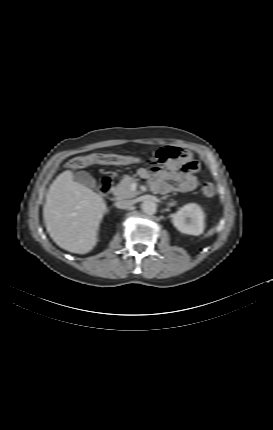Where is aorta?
Segmentation results:
<instances>
[{"label": "aorta", "instance_id": "obj_1", "mask_svg": "<svg viewBox=\"0 0 273 430\" xmlns=\"http://www.w3.org/2000/svg\"><path fill=\"white\" fill-rule=\"evenodd\" d=\"M141 208H142L143 212L148 214V215H153L157 211L156 203H154L153 201H150V200L143 201Z\"/></svg>", "mask_w": 273, "mask_h": 430}]
</instances>
